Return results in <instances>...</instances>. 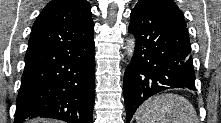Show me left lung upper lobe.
I'll use <instances>...</instances> for the list:
<instances>
[{
	"label": "left lung upper lobe",
	"mask_w": 221,
	"mask_h": 123,
	"mask_svg": "<svg viewBox=\"0 0 221 123\" xmlns=\"http://www.w3.org/2000/svg\"><path fill=\"white\" fill-rule=\"evenodd\" d=\"M154 13L186 27L184 16L173 0H139Z\"/></svg>",
	"instance_id": "1"
}]
</instances>
